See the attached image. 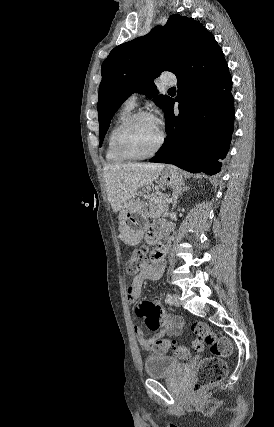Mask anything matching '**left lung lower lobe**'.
<instances>
[{
  "mask_svg": "<svg viewBox=\"0 0 274 427\" xmlns=\"http://www.w3.org/2000/svg\"><path fill=\"white\" fill-rule=\"evenodd\" d=\"M178 95L164 110L167 139L150 162L170 163L191 173L220 171L234 124L232 80L223 52L213 38L195 51L176 75ZM179 103V114L173 112Z\"/></svg>",
  "mask_w": 274,
  "mask_h": 427,
  "instance_id": "0a47b994",
  "label": "left lung lower lobe"
}]
</instances>
